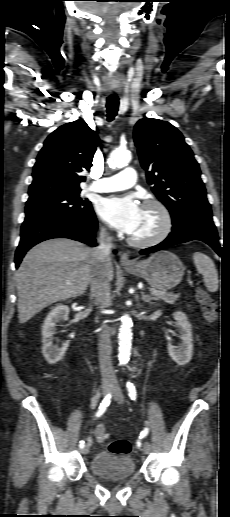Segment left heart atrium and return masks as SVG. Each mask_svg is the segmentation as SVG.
I'll return each instance as SVG.
<instances>
[{
	"label": "left heart atrium",
	"mask_w": 230,
	"mask_h": 517,
	"mask_svg": "<svg viewBox=\"0 0 230 517\" xmlns=\"http://www.w3.org/2000/svg\"><path fill=\"white\" fill-rule=\"evenodd\" d=\"M142 208L131 196L102 199L97 211L101 218L114 228L132 234L137 228Z\"/></svg>",
	"instance_id": "39dd6f15"
}]
</instances>
